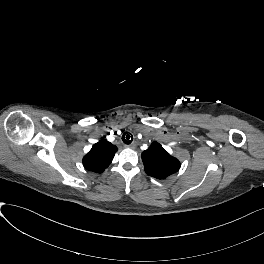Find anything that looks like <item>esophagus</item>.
I'll list each match as a JSON object with an SVG mask.
<instances>
[{
  "label": "esophagus",
  "mask_w": 264,
  "mask_h": 264,
  "mask_svg": "<svg viewBox=\"0 0 264 264\" xmlns=\"http://www.w3.org/2000/svg\"><path fill=\"white\" fill-rule=\"evenodd\" d=\"M125 147L134 149L136 147V145H135V143H131V144L125 145Z\"/></svg>",
  "instance_id": "esophagus-1"
}]
</instances>
